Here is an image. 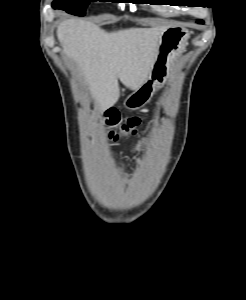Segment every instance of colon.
<instances>
[{
	"mask_svg": "<svg viewBox=\"0 0 246 300\" xmlns=\"http://www.w3.org/2000/svg\"><path fill=\"white\" fill-rule=\"evenodd\" d=\"M105 123L111 128L108 133L109 139L113 142H119L128 137L137 135L140 132L142 119L138 116L130 117L123 125L117 128L118 113L116 111H110L106 116Z\"/></svg>",
	"mask_w": 246,
	"mask_h": 300,
	"instance_id": "obj_1",
	"label": "colon"
}]
</instances>
